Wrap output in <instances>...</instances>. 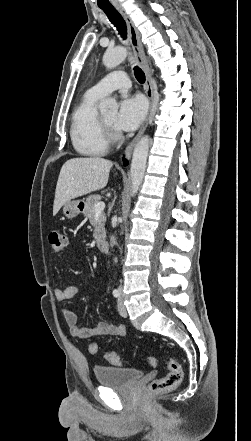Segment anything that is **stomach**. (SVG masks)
Here are the masks:
<instances>
[{"label":"stomach","instance_id":"1","mask_svg":"<svg viewBox=\"0 0 251 441\" xmlns=\"http://www.w3.org/2000/svg\"><path fill=\"white\" fill-rule=\"evenodd\" d=\"M84 205L82 200H69L63 205V214L69 219L74 218L83 211Z\"/></svg>","mask_w":251,"mask_h":441}]
</instances>
